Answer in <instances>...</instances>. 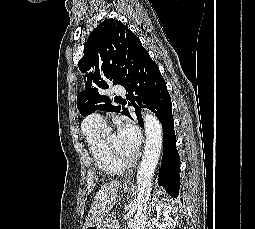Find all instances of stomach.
<instances>
[{
    "instance_id": "obj_1",
    "label": "stomach",
    "mask_w": 255,
    "mask_h": 229,
    "mask_svg": "<svg viewBox=\"0 0 255 229\" xmlns=\"http://www.w3.org/2000/svg\"><path fill=\"white\" fill-rule=\"evenodd\" d=\"M122 190L125 193H129L131 191V188L123 186ZM109 222L110 219L108 217H104L100 221L89 225L88 227H86V229H107V227H109Z\"/></svg>"
}]
</instances>
